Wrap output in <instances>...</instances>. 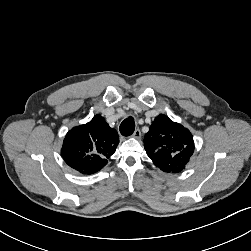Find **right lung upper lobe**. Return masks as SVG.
Returning <instances> with one entry per match:
<instances>
[{
  "mask_svg": "<svg viewBox=\"0 0 251 251\" xmlns=\"http://www.w3.org/2000/svg\"><path fill=\"white\" fill-rule=\"evenodd\" d=\"M119 136L100 115L72 128L63 141L61 155L73 169L83 174H92L107 164L115 152Z\"/></svg>",
  "mask_w": 251,
  "mask_h": 251,
  "instance_id": "cb5924a9",
  "label": "right lung upper lobe"
}]
</instances>
